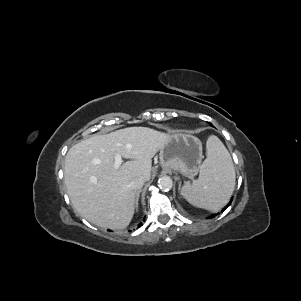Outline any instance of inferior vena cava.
Masks as SVG:
<instances>
[{"label":"inferior vena cava","mask_w":301,"mask_h":301,"mask_svg":"<svg viewBox=\"0 0 301 301\" xmlns=\"http://www.w3.org/2000/svg\"><path fill=\"white\" fill-rule=\"evenodd\" d=\"M145 181H146V178L143 175H138L131 181L130 185L134 190H138V189L142 188Z\"/></svg>","instance_id":"inferior-vena-cava-1"}]
</instances>
